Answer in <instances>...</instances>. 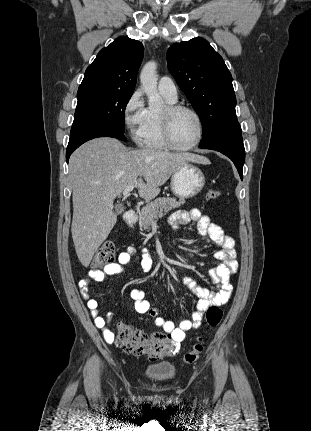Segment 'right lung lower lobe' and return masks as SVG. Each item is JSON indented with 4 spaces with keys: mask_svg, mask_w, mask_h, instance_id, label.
<instances>
[{
    "mask_svg": "<svg viewBox=\"0 0 311 431\" xmlns=\"http://www.w3.org/2000/svg\"><path fill=\"white\" fill-rule=\"evenodd\" d=\"M97 137H113L126 141L124 132L105 127V126H89L70 133V140L66 151V160L69 161L70 155L84 142Z\"/></svg>",
    "mask_w": 311,
    "mask_h": 431,
    "instance_id": "obj_1",
    "label": "right lung lower lobe"
}]
</instances>
